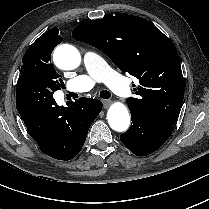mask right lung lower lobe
<instances>
[{"instance_id": "right-lung-lower-lobe-1", "label": "right lung lower lobe", "mask_w": 209, "mask_h": 209, "mask_svg": "<svg viewBox=\"0 0 209 209\" xmlns=\"http://www.w3.org/2000/svg\"><path fill=\"white\" fill-rule=\"evenodd\" d=\"M58 106L53 94L27 81L16 86V107L28 134L40 150L58 160H71L82 149L101 101L81 98Z\"/></svg>"}]
</instances>
